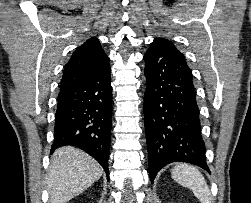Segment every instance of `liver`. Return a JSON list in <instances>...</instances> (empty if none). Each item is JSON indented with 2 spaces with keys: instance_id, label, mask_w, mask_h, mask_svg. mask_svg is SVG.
Wrapping results in <instances>:
<instances>
[{
  "instance_id": "liver-1",
  "label": "liver",
  "mask_w": 251,
  "mask_h": 203,
  "mask_svg": "<svg viewBox=\"0 0 251 203\" xmlns=\"http://www.w3.org/2000/svg\"><path fill=\"white\" fill-rule=\"evenodd\" d=\"M102 168L84 151L66 146L57 149L47 178L50 203H66L102 176Z\"/></svg>"
}]
</instances>
